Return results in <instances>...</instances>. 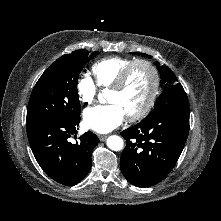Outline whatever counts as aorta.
<instances>
[{"label": "aorta", "mask_w": 221, "mask_h": 221, "mask_svg": "<svg viewBox=\"0 0 221 221\" xmlns=\"http://www.w3.org/2000/svg\"><path fill=\"white\" fill-rule=\"evenodd\" d=\"M107 146L113 151H120L123 149L124 143L121 137L111 135L107 138Z\"/></svg>", "instance_id": "1"}]
</instances>
